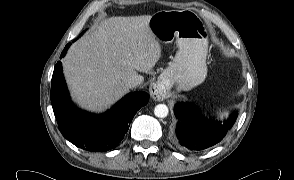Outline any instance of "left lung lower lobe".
I'll use <instances>...</instances> for the list:
<instances>
[{
	"mask_svg": "<svg viewBox=\"0 0 294 180\" xmlns=\"http://www.w3.org/2000/svg\"><path fill=\"white\" fill-rule=\"evenodd\" d=\"M175 114L181 121L176 129L177 141L183 148L203 150L220 142L236 120V114L220 124L199 117L191 104L179 103Z\"/></svg>",
	"mask_w": 294,
	"mask_h": 180,
	"instance_id": "obj_1",
	"label": "left lung lower lobe"
}]
</instances>
